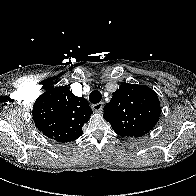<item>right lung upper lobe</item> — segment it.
Segmentation results:
<instances>
[{
	"instance_id": "obj_1",
	"label": "right lung upper lobe",
	"mask_w": 196,
	"mask_h": 196,
	"mask_svg": "<svg viewBox=\"0 0 196 196\" xmlns=\"http://www.w3.org/2000/svg\"><path fill=\"white\" fill-rule=\"evenodd\" d=\"M91 114L87 100L73 95L67 86L45 92L33 106V119L38 130L62 143L79 138Z\"/></svg>"
}]
</instances>
